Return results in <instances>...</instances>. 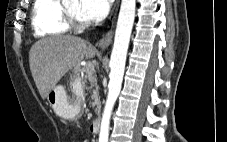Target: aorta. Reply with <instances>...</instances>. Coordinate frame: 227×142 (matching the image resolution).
<instances>
[{
  "mask_svg": "<svg viewBox=\"0 0 227 142\" xmlns=\"http://www.w3.org/2000/svg\"><path fill=\"white\" fill-rule=\"evenodd\" d=\"M68 2L69 0H62ZM136 0H122L117 21L113 50L110 58V81L108 96L104 107L99 142H108L110 118L114 104L119 96L125 70L127 50L135 19Z\"/></svg>",
  "mask_w": 227,
  "mask_h": 142,
  "instance_id": "aorta-1",
  "label": "aorta"
}]
</instances>
